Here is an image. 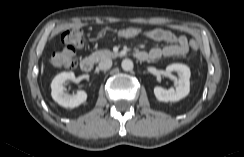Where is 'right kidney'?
<instances>
[{"label":"right kidney","instance_id":"1","mask_svg":"<svg viewBox=\"0 0 244 157\" xmlns=\"http://www.w3.org/2000/svg\"><path fill=\"white\" fill-rule=\"evenodd\" d=\"M66 80L75 81V74L73 72H62L53 79L51 83V96L53 100L65 108H76L84 104L87 100V93L78 91L74 95L66 94L63 86Z\"/></svg>","mask_w":244,"mask_h":157}]
</instances>
